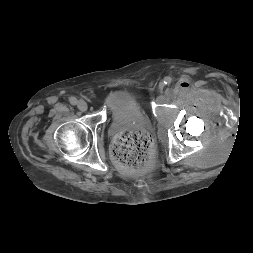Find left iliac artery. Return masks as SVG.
Segmentation results:
<instances>
[{
	"instance_id": "44dca946",
	"label": "left iliac artery",
	"mask_w": 253,
	"mask_h": 253,
	"mask_svg": "<svg viewBox=\"0 0 253 253\" xmlns=\"http://www.w3.org/2000/svg\"><path fill=\"white\" fill-rule=\"evenodd\" d=\"M172 82V78L167 76L164 78V84L169 85Z\"/></svg>"
}]
</instances>
